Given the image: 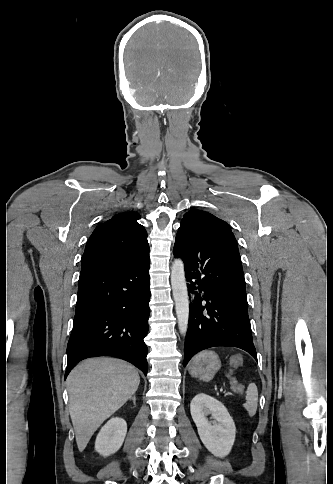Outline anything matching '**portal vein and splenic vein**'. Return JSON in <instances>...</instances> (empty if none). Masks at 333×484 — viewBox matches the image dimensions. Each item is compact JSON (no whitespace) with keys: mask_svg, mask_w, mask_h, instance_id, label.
<instances>
[{"mask_svg":"<svg viewBox=\"0 0 333 484\" xmlns=\"http://www.w3.org/2000/svg\"><path fill=\"white\" fill-rule=\"evenodd\" d=\"M220 390L224 392V395L225 396H233L234 395L233 393H231V392H229V391H227V390H225L223 388H221Z\"/></svg>","mask_w":333,"mask_h":484,"instance_id":"portal-vein-and-splenic-vein-1","label":"portal vein and splenic vein"}]
</instances>
